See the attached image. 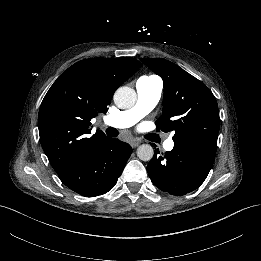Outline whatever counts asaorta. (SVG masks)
Listing matches in <instances>:
<instances>
[{"mask_svg": "<svg viewBox=\"0 0 261 261\" xmlns=\"http://www.w3.org/2000/svg\"><path fill=\"white\" fill-rule=\"evenodd\" d=\"M137 102L136 91L128 86H122L114 93V103L120 109H130ZM154 155L151 145L144 144L138 147L137 157L142 161H150Z\"/></svg>", "mask_w": 261, "mask_h": 261, "instance_id": "1", "label": "aorta"}]
</instances>
